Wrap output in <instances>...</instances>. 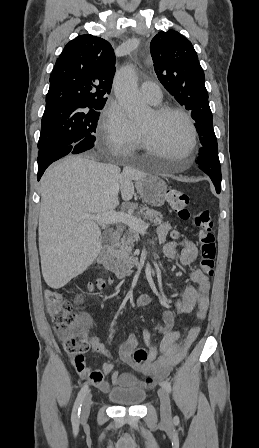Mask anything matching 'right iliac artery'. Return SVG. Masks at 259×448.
Returning <instances> with one entry per match:
<instances>
[{"instance_id":"right-iliac-artery-1","label":"right iliac artery","mask_w":259,"mask_h":448,"mask_svg":"<svg viewBox=\"0 0 259 448\" xmlns=\"http://www.w3.org/2000/svg\"><path fill=\"white\" fill-rule=\"evenodd\" d=\"M87 392H88V385L84 384L80 392L78 393V396L73 406L71 420L74 424H78L79 422L81 406Z\"/></svg>"}]
</instances>
